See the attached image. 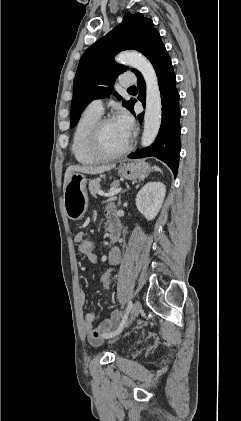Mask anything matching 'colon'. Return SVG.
I'll use <instances>...</instances> for the list:
<instances>
[{
	"label": "colon",
	"mask_w": 241,
	"mask_h": 421,
	"mask_svg": "<svg viewBox=\"0 0 241 421\" xmlns=\"http://www.w3.org/2000/svg\"><path fill=\"white\" fill-rule=\"evenodd\" d=\"M94 247L95 245L91 240H84L79 245V251L81 253H90L94 251ZM100 283L105 290L109 291L111 289L113 283V269L108 268L101 273Z\"/></svg>",
	"instance_id": "obj_1"
}]
</instances>
